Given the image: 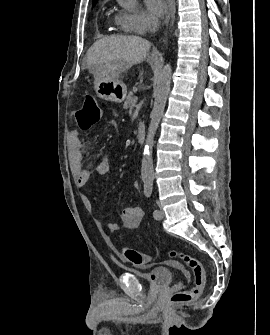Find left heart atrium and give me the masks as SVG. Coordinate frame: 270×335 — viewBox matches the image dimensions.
<instances>
[{
  "label": "left heart atrium",
  "instance_id": "1",
  "mask_svg": "<svg viewBox=\"0 0 270 335\" xmlns=\"http://www.w3.org/2000/svg\"><path fill=\"white\" fill-rule=\"evenodd\" d=\"M148 10L155 17H161L166 12V4L162 0H147Z\"/></svg>",
  "mask_w": 270,
  "mask_h": 335
}]
</instances>
